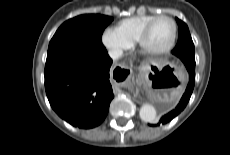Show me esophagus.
<instances>
[{
	"label": "esophagus",
	"instance_id": "1",
	"mask_svg": "<svg viewBox=\"0 0 230 155\" xmlns=\"http://www.w3.org/2000/svg\"><path fill=\"white\" fill-rule=\"evenodd\" d=\"M122 69V71L129 73L130 72V68L126 65H119ZM115 87L118 89L117 85H115Z\"/></svg>",
	"mask_w": 230,
	"mask_h": 155
}]
</instances>
